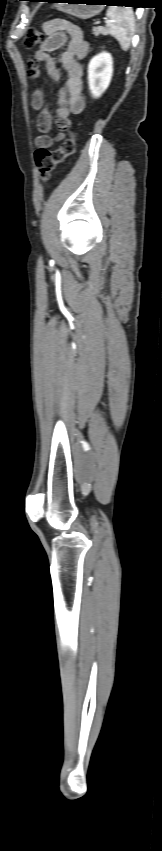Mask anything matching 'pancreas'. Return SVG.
Returning <instances> with one entry per match:
<instances>
[{"mask_svg": "<svg viewBox=\"0 0 162 851\" xmlns=\"http://www.w3.org/2000/svg\"><path fill=\"white\" fill-rule=\"evenodd\" d=\"M93 34L95 36H99L100 34L107 35V31L104 27H97L93 29Z\"/></svg>", "mask_w": 162, "mask_h": 851, "instance_id": "pancreas-1", "label": "pancreas"}]
</instances>
